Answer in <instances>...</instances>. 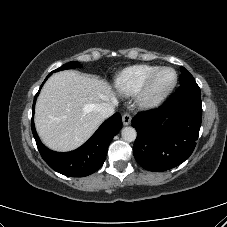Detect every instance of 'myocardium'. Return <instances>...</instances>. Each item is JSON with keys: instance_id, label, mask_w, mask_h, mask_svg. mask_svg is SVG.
I'll return each mask as SVG.
<instances>
[{"instance_id": "obj_1", "label": "myocardium", "mask_w": 227, "mask_h": 227, "mask_svg": "<svg viewBox=\"0 0 227 227\" xmlns=\"http://www.w3.org/2000/svg\"><path fill=\"white\" fill-rule=\"evenodd\" d=\"M172 71L174 73V81L168 87L158 90L156 89V80L163 71ZM178 74L171 67H159L146 80L141 90L138 92L137 101L140 107L144 109H152L159 106L174 90L177 85Z\"/></svg>"}]
</instances>
